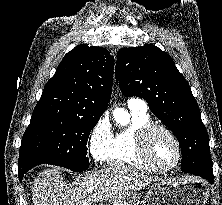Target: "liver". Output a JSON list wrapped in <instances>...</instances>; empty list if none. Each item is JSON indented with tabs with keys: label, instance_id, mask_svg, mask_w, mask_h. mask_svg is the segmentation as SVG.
I'll use <instances>...</instances> for the list:
<instances>
[{
	"label": "liver",
	"instance_id": "6515ba94",
	"mask_svg": "<svg viewBox=\"0 0 222 205\" xmlns=\"http://www.w3.org/2000/svg\"><path fill=\"white\" fill-rule=\"evenodd\" d=\"M155 181L125 166L79 175L66 183L59 167L45 169L34 179V205H91L131 195Z\"/></svg>",
	"mask_w": 222,
	"mask_h": 205
}]
</instances>
